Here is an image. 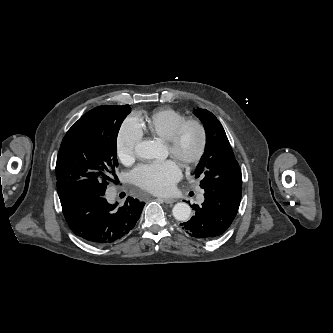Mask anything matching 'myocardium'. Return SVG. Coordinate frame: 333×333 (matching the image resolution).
Wrapping results in <instances>:
<instances>
[{"label":"myocardium","mask_w":333,"mask_h":333,"mask_svg":"<svg viewBox=\"0 0 333 333\" xmlns=\"http://www.w3.org/2000/svg\"><path fill=\"white\" fill-rule=\"evenodd\" d=\"M193 128L198 133V145L196 151L186 156L181 153V143L184 133ZM171 155L177 158L185 167L197 165L206 153L208 145V134L204 124L196 119H186L181 122L173 131L171 137L167 140Z\"/></svg>","instance_id":"obj_1"}]
</instances>
